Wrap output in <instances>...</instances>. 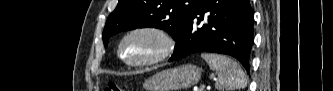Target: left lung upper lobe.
<instances>
[{
  "label": "left lung upper lobe",
  "instance_id": "1",
  "mask_svg": "<svg viewBox=\"0 0 333 91\" xmlns=\"http://www.w3.org/2000/svg\"><path fill=\"white\" fill-rule=\"evenodd\" d=\"M200 0H119L103 31L105 47L111 36L126 30L155 27L175 40Z\"/></svg>",
  "mask_w": 333,
  "mask_h": 91
}]
</instances>
